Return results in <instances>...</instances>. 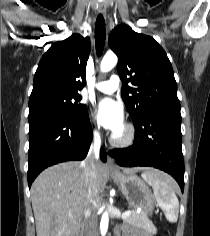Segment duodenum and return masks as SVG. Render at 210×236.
<instances>
[{
    "label": "duodenum",
    "instance_id": "obj_1",
    "mask_svg": "<svg viewBox=\"0 0 210 236\" xmlns=\"http://www.w3.org/2000/svg\"><path fill=\"white\" fill-rule=\"evenodd\" d=\"M75 236H83L82 229H78Z\"/></svg>",
    "mask_w": 210,
    "mask_h": 236
}]
</instances>
